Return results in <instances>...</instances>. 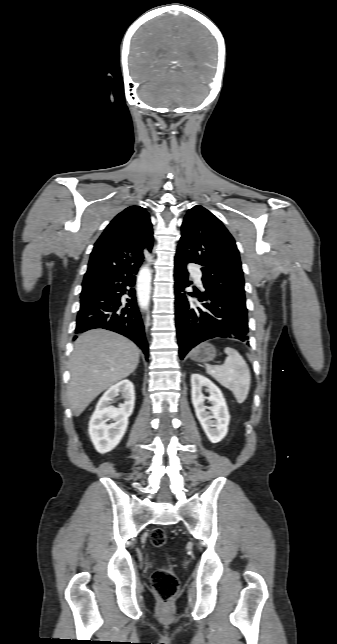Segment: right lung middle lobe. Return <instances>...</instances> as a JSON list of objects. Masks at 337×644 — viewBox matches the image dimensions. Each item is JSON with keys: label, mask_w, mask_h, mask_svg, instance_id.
Segmentation results:
<instances>
[{"label": "right lung middle lobe", "mask_w": 337, "mask_h": 644, "mask_svg": "<svg viewBox=\"0 0 337 644\" xmlns=\"http://www.w3.org/2000/svg\"><path fill=\"white\" fill-rule=\"evenodd\" d=\"M96 284V283H95ZM95 284H83L82 285V292L81 295L86 293L89 289H91Z\"/></svg>", "instance_id": "right-lung-middle-lobe-1"}]
</instances>
